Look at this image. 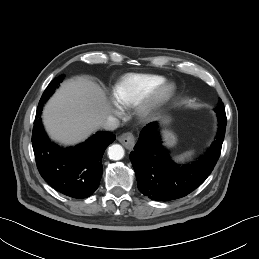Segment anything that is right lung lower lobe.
I'll return each instance as SVG.
<instances>
[{
  "instance_id": "obj_1",
  "label": "right lung lower lobe",
  "mask_w": 259,
  "mask_h": 259,
  "mask_svg": "<svg viewBox=\"0 0 259 259\" xmlns=\"http://www.w3.org/2000/svg\"><path fill=\"white\" fill-rule=\"evenodd\" d=\"M40 113L34 121L32 146L42 178L59 193L87 198L98 188L103 172L105 149L115 140L111 132H98L75 148L61 149L50 142L42 127Z\"/></svg>"
}]
</instances>
